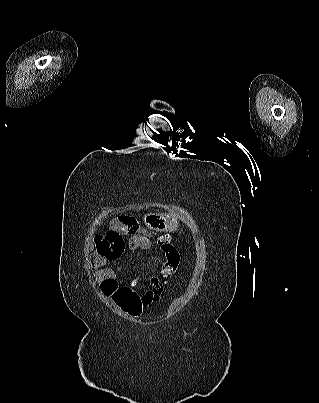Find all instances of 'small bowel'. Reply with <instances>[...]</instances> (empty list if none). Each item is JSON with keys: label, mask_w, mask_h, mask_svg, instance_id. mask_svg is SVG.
I'll return each instance as SVG.
<instances>
[{"label": "small bowel", "mask_w": 319, "mask_h": 403, "mask_svg": "<svg viewBox=\"0 0 319 403\" xmlns=\"http://www.w3.org/2000/svg\"><path fill=\"white\" fill-rule=\"evenodd\" d=\"M96 250L92 253L89 268L95 272L99 282V291L108 300L118 305L123 313L139 317L145 308L158 304L163 288H168L178 268V252L172 245L169 235L158 236V241L165 256L164 268L151 275L148 290L139 296L137 284L119 283L116 279L117 267L112 263L126 253L128 243L133 246L148 248L151 242L146 232L133 220L129 213H118L114 224L108 229L96 231ZM127 235L132 236L127 239Z\"/></svg>", "instance_id": "c3829d8e"}]
</instances>
